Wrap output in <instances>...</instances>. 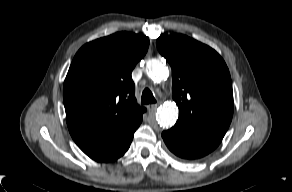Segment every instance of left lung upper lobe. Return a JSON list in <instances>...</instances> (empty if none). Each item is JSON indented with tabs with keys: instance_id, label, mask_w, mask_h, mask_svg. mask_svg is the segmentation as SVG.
Returning <instances> with one entry per match:
<instances>
[{
	"instance_id": "1",
	"label": "left lung upper lobe",
	"mask_w": 292,
	"mask_h": 192,
	"mask_svg": "<svg viewBox=\"0 0 292 192\" xmlns=\"http://www.w3.org/2000/svg\"><path fill=\"white\" fill-rule=\"evenodd\" d=\"M157 48L172 68L179 108L174 128L222 140L233 115L231 77L222 57L182 34L159 37Z\"/></svg>"
}]
</instances>
